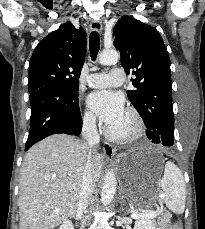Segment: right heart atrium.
<instances>
[{
  "instance_id": "1",
  "label": "right heart atrium",
  "mask_w": 205,
  "mask_h": 229,
  "mask_svg": "<svg viewBox=\"0 0 205 229\" xmlns=\"http://www.w3.org/2000/svg\"><path fill=\"white\" fill-rule=\"evenodd\" d=\"M82 122L87 127H94L96 125V118L90 111H84L82 114Z\"/></svg>"
}]
</instances>
